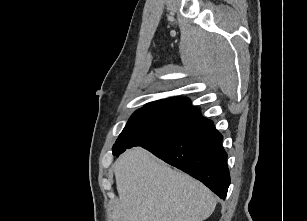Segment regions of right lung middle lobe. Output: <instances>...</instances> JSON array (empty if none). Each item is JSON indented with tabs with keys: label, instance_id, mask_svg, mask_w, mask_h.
Returning <instances> with one entry per match:
<instances>
[{
	"label": "right lung middle lobe",
	"instance_id": "right-lung-middle-lobe-1",
	"mask_svg": "<svg viewBox=\"0 0 307 221\" xmlns=\"http://www.w3.org/2000/svg\"><path fill=\"white\" fill-rule=\"evenodd\" d=\"M203 117L189 104L152 102L138 109L126 124L113 146V155H120L133 146H146L174 137Z\"/></svg>",
	"mask_w": 307,
	"mask_h": 221
}]
</instances>
